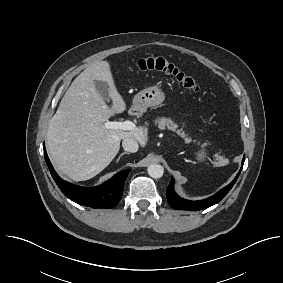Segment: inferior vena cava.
Masks as SVG:
<instances>
[{"mask_svg":"<svg viewBox=\"0 0 283 283\" xmlns=\"http://www.w3.org/2000/svg\"><path fill=\"white\" fill-rule=\"evenodd\" d=\"M122 146L124 150L132 153L137 152L139 148L137 141L133 138H124L122 141Z\"/></svg>","mask_w":283,"mask_h":283,"instance_id":"602c4592","label":"inferior vena cava"}]
</instances>
